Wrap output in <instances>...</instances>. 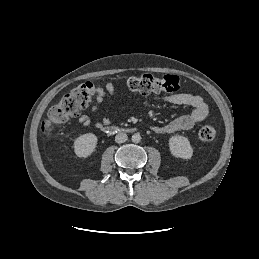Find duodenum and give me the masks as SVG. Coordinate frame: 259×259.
Instances as JSON below:
<instances>
[{"mask_svg":"<svg viewBox=\"0 0 259 259\" xmlns=\"http://www.w3.org/2000/svg\"><path fill=\"white\" fill-rule=\"evenodd\" d=\"M104 130L108 133H117V132L126 131L125 129L119 128L116 126H106V127H104Z\"/></svg>","mask_w":259,"mask_h":259,"instance_id":"duodenum-1","label":"duodenum"}]
</instances>
